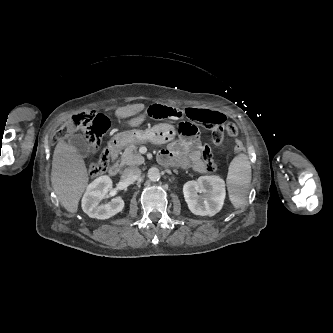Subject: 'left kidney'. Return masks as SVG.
<instances>
[{
	"label": "left kidney",
	"mask_w": 333,
	"mask_h": 333,
	"mask_svg": "<svg viewBox=\"0 0 333 333\" xmlns=\"http://www.w3.org/2000/svg\"><path fill=\"white\" fill-rule=\"evenodd\" d=\"M183 193L193 214L213 216L223 206L226 195L225 183L219 176H201L197 180L186 182Z\"/></svg>",
	"instance_id": "obj_1"
}]
</instances>
